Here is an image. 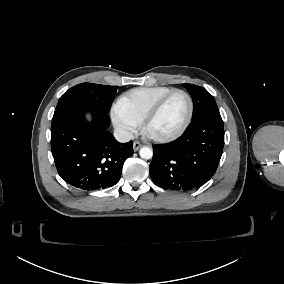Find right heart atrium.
<instances>
[{"label":"right heart atrium","instance_id":"d8ad5b80","mask_svg":"<svg viewBox=\"0 0 284 284\" xmlns=\"http://www.w3.org/2000/svg\"><path fill=\"white\" fill-rule=\"evenodd\" d=\"M111 121L117 132L125 139L133 138L139 130L138 122L135 119L116 109L111 111Z\"/></svg>","mask_w":284,"mask_h":284}]
</instances>
